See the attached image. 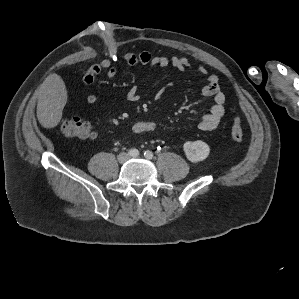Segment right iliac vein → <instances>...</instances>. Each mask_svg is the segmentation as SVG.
Wrapping results in <instances>:
<instances>
[{"instance_id": "1", "label": "right iliac vein", "mask_w": 299, "mask_h": 299, "mask_svg": "<svg viewBox=\"0 0 299 299\" xmlns=\"http://www.w3.org/2000/svg\"><path fill=\"white\" fill-rule=\"evenodd\" d=\"M128 159H129V155H128L127 153H125V152L120 153V154L118 155V161H119L121 164L125 163Z\"/></svg>"}]
</instances>
